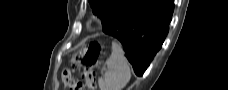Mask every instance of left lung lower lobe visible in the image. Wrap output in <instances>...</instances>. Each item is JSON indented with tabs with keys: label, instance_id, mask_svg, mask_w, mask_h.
<instances>
[{
	"label": "left lung lower lobe",
	"instance_id": "obj_1",
	"mask_svg": "<svg viewBox=\"0 0 228 90\" xmlns=\"http://www.w3.org/2000/svg\"><path fill=\"white\" fill-rule=\"evenodd\" d=\"M173 0H132L114 24L103 30L117 38L135 73L142 76L167 35Z\"/></svg>",
	"mask_w": 228,
	"mask_h": 90
}]
</instances>
